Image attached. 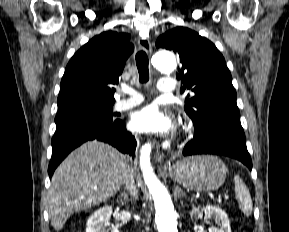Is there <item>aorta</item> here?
Returning <instances> with one entry per match:
<instances>
[{
    "label": "aorta",
    "instance_id": "aorta-1",
    "mask_svg": "<svg viewBox=\"0 0 289 232\" xmlns=\"http://www.w3.org/2000/svg\"><path fill=\"white\" fill-rule=\"evenodd\" d=\"M154 68L162 73H171L176 69V58L166 51H159L153 58ZM151 144L141 148L140 166L145 184L148 186L155 205V223L158 232H178L177 215L167 189L159 181L150 165Z\"/></svg>",
    "mask_w": 289,
    "mask_h": 232
}]
</instances>
